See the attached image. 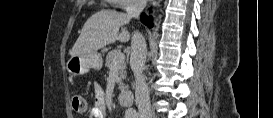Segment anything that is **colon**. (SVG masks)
I'll return each mask as SVG.
<instances>
[{
    "instance_id": "obj_1",
    "label": "colon",
    "mask_w": 273,
    "mask_h": 118,
    "mask_svg": "<svg viewBox=\"0 0 273 118\" xmlns=\"http://www.w3.org/2000/svg\"><path fill=\"white\" fill-rule=\"evenodd\" d=\"M72 108L77 113H84L87 110L85 99L79 94L74 95L72 97Z\"/></svg>"
}]
</instances>
